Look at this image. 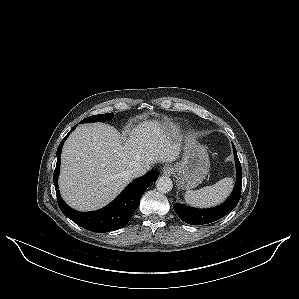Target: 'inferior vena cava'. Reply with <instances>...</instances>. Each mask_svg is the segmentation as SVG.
I'll return each instance as SVG.
<instances>
[{"mask_svg": "<svg viewBox=\"0 0 299 299\" xmlns=\"http://www.w3.org/2000/svg\"><path fill=\"white\" fill-rule=\"evenodd\" d=\"M147 172V169L143 166H138L129 171V175L132 178H137L144 175Z\"/></svg>", "mask_w": 299, "mask_h": 299, "instance_id": "inferior-vena-cava-1", "label": "inferior vena cava"}]
</instances>
